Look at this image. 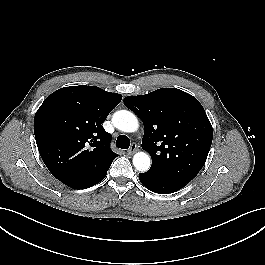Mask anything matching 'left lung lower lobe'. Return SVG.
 I'll return each instance as SVG.
<instances>
[{"instance_id":"obj_1","label":"left lung lower lobe","mask_w":265,"mask_h":265,"mask_svg":"<svg viewBox=\"0 0 265 265\" xmlns=\"http://www.w3.org/2000/svg\"><path fill=\"white\" fill-rule=\"evenodd\" d=\"M139 179L147 189L159 194L173 193L184 187L150 172L139 173Z\"/></svg>"}]
</instances>
